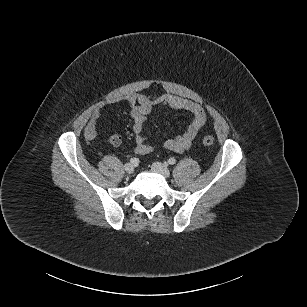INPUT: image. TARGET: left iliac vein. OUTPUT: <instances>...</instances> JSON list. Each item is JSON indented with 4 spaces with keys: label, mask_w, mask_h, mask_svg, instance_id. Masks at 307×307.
<instances>
[{
    "label": "left iliac vein",
    "mask_w": 307,
    "mask_h": 307,
    "mask_svg": "<svg viewBox=\"0 0 307 307\" xmlns=\"http://www.w3.org/2000/svg\"><path fill=\"white\" fill-rule=\"evenodd\" d=\"M152 170L161 174L164 178L170 177V171L167 168L166 165L160 163V162H154L151 166Z\"/></svg>",
    "instance_id": "left-iliac-vein-1"
}]
</instances>
